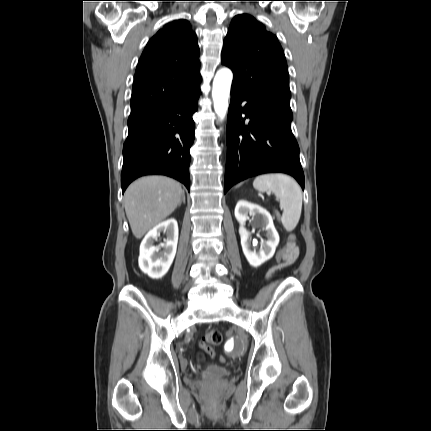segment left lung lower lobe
I'll return each mask as SVG.
<instances>
[{"label":"left lung lower lobe","instance_id":"1","mask_svg":"<svg viewBox=\"0 0 431 431\" xmlns=\"http://www.w3.org/2000/svg\"><path fill=\"white\" fill-rule=\"evenodd\" d=\"M242 102L246 104L242 106ZM291 121V112L252 98L232 84L224 193L248 177L272 172L292 175L304 189L299 146Z\"/></svg>","mask_w":431,"mask_h":431}]
</instances>
